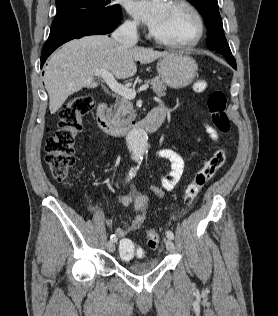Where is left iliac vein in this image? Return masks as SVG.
Wrapping results in <instances>:
<instances>
[{
	"label": "left iliac vein",
	"mask_w": 278,
	"mask_h": 316,
	"mask_svg": "<svg viewBox=\"0 0 278 316\" xmlns=\"http://www.w3.org/2000/svg\"><path fill=\"white\" fill-rule=\"evenodd\" d=\"M166 249H167L169 252H173V251L175 250V245H174V243H173L170 239H168V240L166 241Z\"/></svg>",
	"instance_id": "obj_1"
}]
</instances>
